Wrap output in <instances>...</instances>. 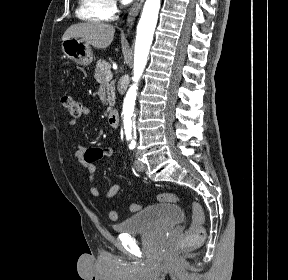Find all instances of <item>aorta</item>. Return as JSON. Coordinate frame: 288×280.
Here are the masks:
<instances>
[{"label": "aorta", "mask_w": 288, "mask_h": 280, "mask_svg": "<svg viewBox=\"0 0 288 280\" xmlns=\"http://www.w3.org/2000/svg\"><path fill=\"white\" fill-rule=\"evenodd\" d=\"M160 5L161 0H146L137 26L133 69L134 83L129 88L124 99V111H122V116H125V120H137V106H134V104L138 90V82L147 63ZM135 124V121H122L125 140H137L138 126H135Z\"/></svg>", "instance_id": "1"}]
</instances>
